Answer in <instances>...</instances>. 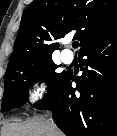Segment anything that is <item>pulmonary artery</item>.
<instances>
[{
	"label": "pulmonary artery",
	"mask_w": 117,
	"mask_h": 136,
	"mask_svg": "<svg viewBox=\"0 0 117 136\" xmlns=\"http://www.w3.org/2000/svg\"><path fill=\"white\" fill-rule=\"evenodd\" d=\"M61 58L65 63H71L73 61V54L70 50H63L61 53Z\"/></svg>",
	"instance_id": "pulmonary-artery-1"
}]
</instances>
